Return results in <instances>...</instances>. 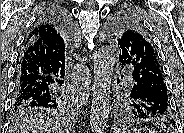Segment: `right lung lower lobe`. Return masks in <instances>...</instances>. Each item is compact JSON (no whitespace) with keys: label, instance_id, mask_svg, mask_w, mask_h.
<instances>
[{"label":"right lung lower lobe","instance_id":"98d812e1","mask_svg":"<svg viewBox=\"0 0 184 133\" xmlns=\"http://www.w3.org/2000/svg\"><path fill=\"white\" fill-rule=\"evenodd\" d=\"M49 18L60 29L72 37V23L68 14L60 9L49 11L42 19ZM66 55H48L35 50L32 45L24 47L19 55L16 68L14 91L15 105H45L53 99L64 97L62 85L66 74Z\"/></svg>","mask_w":184,"mask_h":133}]
</instances>
